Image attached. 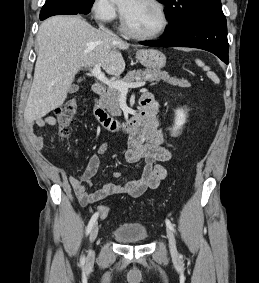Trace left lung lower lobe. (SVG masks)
Here are the masks:
<instances>
[{
    "mask_svg": "<svg viewBox=\"0 0 259 283\" xmlns=\"http://www.w3.org/2000/svg\"><path fill=\"white\" fill-rule=\"evenodd\" d=\"M222 8L210 10L188 24L166 31L162 39L140 42L152 47H193L212 52L228 64L229 44Z\"/></svg>",
    "mask_w": 259,
    "mask_h": 283,
    "instance_id": "left-lung-lower-lobe-1",
    "label": "left lung lower lobe"
}]
</instances>
